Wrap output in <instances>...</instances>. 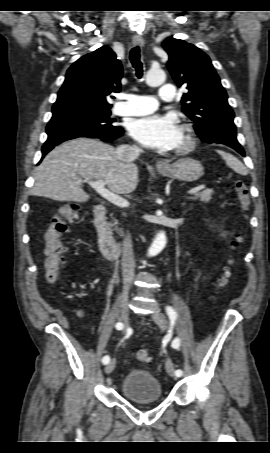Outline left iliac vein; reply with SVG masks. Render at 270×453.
Here are the masks:
<instances>
[{"mask_svg": "<svg viewBox=\"0 0 270 453\" xmlns=\"http://www.w3.org/2000/svg\"><path fill=\"white\" fill-rule=\"evenodd\" d=\"M153 320L159 325V327L163 330H167L168 328V322L164 314L161 312H156L152 314ZM166 371L169 374V376L174 377L175 376V371H174V364L170 359L166 361Z\"/></svg>", "mask_w": 270, "mask_h": 453, "instance_id": "obj_1", "label": "left iliac vein"}]
</instances>
